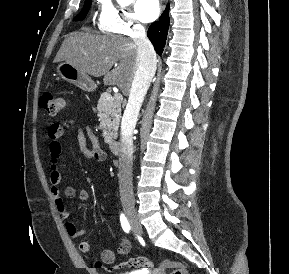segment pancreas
Here are the masks:
<instances>
[{
    "label": "pancreas",
    "mask_w": 289,
    "mask_h": 274,
    "mask_svg": "<svg viewBox=\"0 0 289 274\" xmlns=\"http://www.w3.org/2000/svg\"><path fill=\"white\" fill-rule=\"evenodd\" d=\"M98 116L106 143H112L117 137L121 118V101L112 97L110 93H102L98 101Z\"/></svg>",
    "instance_id": "pancreas-1"
}]
</instances>
